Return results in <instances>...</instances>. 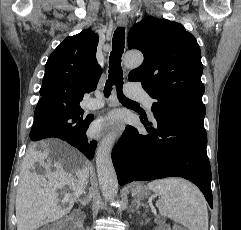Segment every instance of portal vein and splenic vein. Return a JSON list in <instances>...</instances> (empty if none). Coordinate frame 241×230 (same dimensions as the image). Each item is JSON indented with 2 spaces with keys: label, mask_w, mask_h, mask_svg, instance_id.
Instances as JSON below:
<instances>
[{
  "label": "portal vein and splenic vein",
  "mask_w": 241,
  "mask_h": 230,
  "mask_svg": "<svg viewBox=\"0 0 241 230\" xmlns=\"http://www.w3.org/2000/svg\"><path fill=\"white\" fill-rule=\"evenodd\" d=\"M65 200H68V198H67V197H65Z\"/></svg>",
  "instance_id": "portal-vein-and-splenic-vein-1"
}]
</instances>
